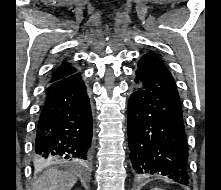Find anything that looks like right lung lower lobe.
<instances>
[{
    "label": "right lung lower lobe",
    "instance_id": "right-lung-lower-lobe-1",
    "mask_svg": "<svg viewBox=\"0 0 221 190\" xmlns=\"http://www.w3.org/2000/svg\"><path fill=\"white\" fill-rule=\"evenodd\" d=\"M91 141L92 112L80 73L50 83L35 129L36 158L84 166L91 156Z\"/></svg>",
    "mask_w": 221,
    "mask_h": 190
}]
</instances>
